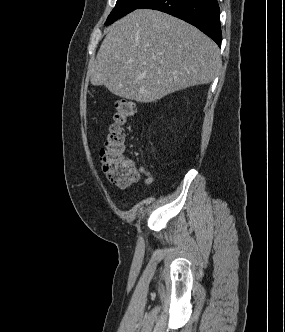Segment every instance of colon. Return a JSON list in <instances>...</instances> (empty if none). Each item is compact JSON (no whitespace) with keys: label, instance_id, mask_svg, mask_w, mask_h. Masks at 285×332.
<instances>
[{"label":"colon","instance_id":"colon-1","mask_svg":"<svg viewBox=\"0 0 285 332\" xmlns=\"http://www.w3.org/2000/svg\"><path fill=\"white\" fill-rule=\"evenodd\" d=\"M136 113V104L127 99H119L115 104L113 123L100 151L102 170L110 183L127 188L139 179L136 164L125 156L124 125Z\"/></svg>","mask_w":285,"mask_h":332}]
</instances>
